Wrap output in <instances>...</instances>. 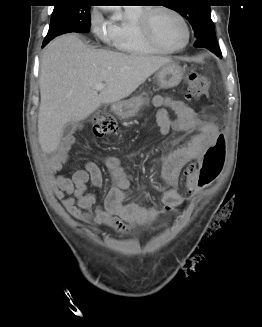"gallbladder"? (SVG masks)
Wrapping results in <instances>:
<instances>
[{
	"label": "gallbladder",
	"instance_id": "obj_1",
	"mask_svg": "<svg viewBox=\"0 0 262 327\" xmlns=\"http://www.w3.org/2000/svg\"><path fill=\"white\" fill-rule=\"evenodd\" d=\"M76 128H77V124L74 122H70L66 124V126L63 129V135L65 137L71 136L75 132Z\"/></svg>",
	"mask_w": 262,
	"mask_h": 327
}]
</instances>
